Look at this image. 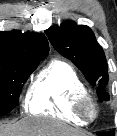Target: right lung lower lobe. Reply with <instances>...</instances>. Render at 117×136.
<instances>
[{
	"label": "right lung lower lobe",
	"mask_w": 117,
	"mask_h": 136,
	"mask_svg": "<svg viewBox=\"0 0 117 136\" xmlns=\"http://www.w3.org/2000/svg\"><path fill=\"white\" fill-rule=\"evenodd\" d=\"M10 111H0V117L6 115L7 113H9Z\"/></svg>",
	"instance_id": "98d812e1"
}]
</instances>
